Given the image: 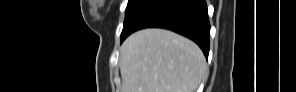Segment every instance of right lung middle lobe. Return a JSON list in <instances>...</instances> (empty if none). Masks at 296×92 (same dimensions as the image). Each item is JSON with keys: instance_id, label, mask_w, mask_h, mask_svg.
<instances>
[{"instance_id": "1", "label": "right lung middle lobe", "mask_w": 296, "mask_h": 92, "mask_svg": "<svg viewBox=\"0 0 296 92\" xmlns=\"http://www.w3.org/2000/svg\"><path fill=\"white\" fill-rule=\"evenodd\" d=\"M153 1L154 0H129L125 11L121 40L129 34L134 22Z\"/></svg>"}]
</instances>
